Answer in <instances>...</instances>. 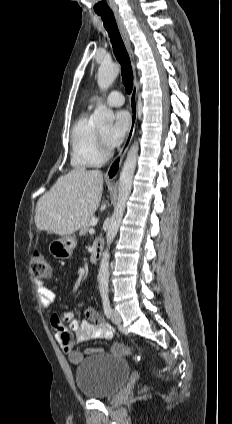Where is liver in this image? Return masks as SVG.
Masks as SVG:
<instances>
[{"mask_svg":"<svg viewBox=\"0 0 232 424\" xmlns=\"http://www.w3.org/2000/svg\"><path fill=\"white\" fill-rule=\"evenodd\" d=\"M103 190V174L99 170L79 167L58 178L37 202V229L61 236L71 235L93 216Z\"/></svg>","mask_w":232,"mask_h":424,"instance_id":"1","label":"liver"}]
</instances>
